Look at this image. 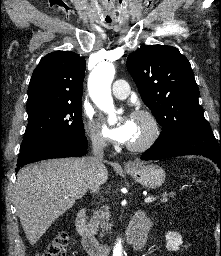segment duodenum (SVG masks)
<instances>
[{"label": "duodenum", "mask_w": 221, "mask_h": 256, "mask_svg": "<svg viewBox=\"0 0 221 256\" xmlns=\"http://www.w3.org/2000/svg\"><path fill=\"white\" fill-rule=\"evenodd\" d=\"M146 222V216L142 211L134 215L126 234L129 242L137 243L143 238L146 233ZM76 229L81 236L83 247L91 256L109 255L110 245L101 243L89 228L85 208L79 209L76 215Z\"/></svg>", "instance_id": "duodenum-1"}]
</instances>
